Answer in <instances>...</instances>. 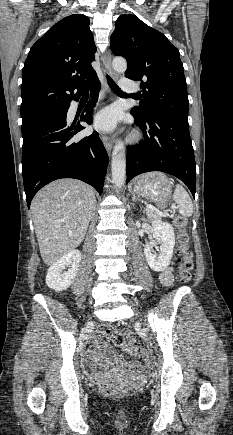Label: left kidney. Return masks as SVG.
I'll return each instance as SVG.
<instances>
[{"mask_svg":"<svg viewBox=\"0 0 233 435\" xmlns=\"http://www.w3.org/2000/svg\"><path fill=\"white\" fill-rule=\"evenodd\" d=\"M145 221V218H142ZM154 240L144 247V255L148 265L153 271L161 272L165 270L173 256L175 246V234L172 225L160 220L151 222ZM160 244V253L153 254V247Z\"/></svg>","mask_w":233,"mask_h":435,"instance_id":"left-kidney-1","label":"left kidney"}]
</instances>
